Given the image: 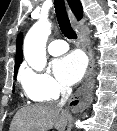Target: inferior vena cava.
Listing matches in <instances>:
<instances>
[{
	"label": "inferior vena cava",
	"instance_id": "obj_1",
	"mask_svg": "<svg viewBox=\"0 0 117 131\" xmlns=\"http://www.w3.org/2000/svg\"><path fill=\"white\" fill-rule=\"evenodd\" d=\"M71 93H72V89L70 87L67 86L61 87V100L59 102V105L61 107L65 105Z\"/></svg>",
	"mask_w": 117,
	"mask_h": 131
}]
</instances>
